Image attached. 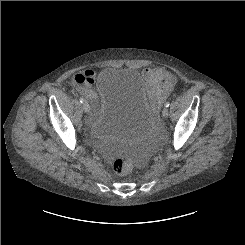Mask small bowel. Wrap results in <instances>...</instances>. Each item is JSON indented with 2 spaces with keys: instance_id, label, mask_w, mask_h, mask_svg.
I'll list each match as a JSON object with an SVG mask.
<instances>
[{
  "instance_id": "small-bowel-1",
  "label": "small bowel",
  "mask_w": 245,
  "mask_h": 245,
  "mask_svg": "<svg viewBox=\"0 0 245 245\" xmlns=\"http://www.w3.org/2000/svg\"><path fill=\"white\" fill-rule=\"evenodd\" d=\"M141 76L146 83L147 90L151 97L158 101L164 100L177 83L176 77L162 68H144L141 71ZM81 77H86L88 80L81 82L79 80ZM94 77L95 73L92 70L76 73L73 78L72 86L76 91L93 100L96 97V93L92 89Z\"/></svg>"
}]
</instances>
